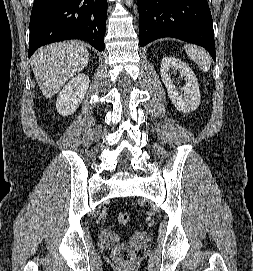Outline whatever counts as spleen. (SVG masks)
<instances>
[{"label": "spleen", "mask_w": 253, "mask_h": 271, "mask_svg": "<svg viewBox=\"0 0 253 271\" xmlns=\"http://www.w3.org/2000/svg\"><path fill=\"white\" fill-rule=\"evenodd\" d=\"M184 49L193 61L203 70L208 71L210 68V57L209 55L202 49L195 45H185Z\"/></svg>", "instance_id": "obj_1"}]
</instances>
